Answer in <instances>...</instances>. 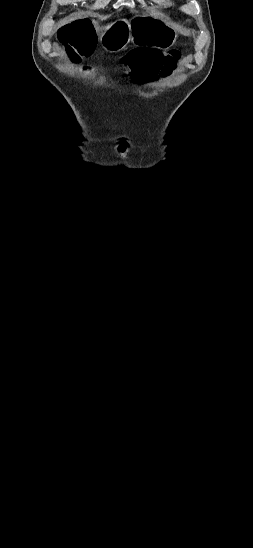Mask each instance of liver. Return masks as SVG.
I'll use <instances>...</instances> for the list:
<instances>
[{
	"instance_id": "liver-1",
	"label": "liver",
	"mask_w": 253,
	"mask_h": 548,
	"mask_svg": "<svg viewBox=\"0 0 253 548\" xmlns=\"http://www.w3.org/2000/svg\"><path fill=\"white\" fill-rule=\"evenodd\" d=\"M93 24H94V26H95V28H96L97 31L102 30V28H99L98 26H96V24H97L96 21H93ZM108 27H109V26L104 27L103 29H107Z\"/></svg>"
}]
</instances>
